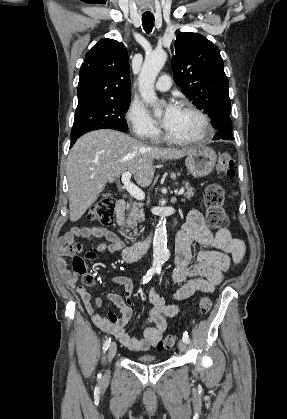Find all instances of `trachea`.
<instances>
[{
    "mask_svg": "<svg viewBox=\"0 0 287 419\" xmlns=\"http://www.w3.org/2000/svg\"><path fill=\"white\" fill-rule=\"evenodd\" d=\"M142 26L145 32L150 33L154 27V15L151 13L142 15Z\"/></svg>",
    "mask_w": 287,
    "mask_h": 419,
    "instance_id": "obj_1",
    "label": "trachea"
}]
</instances>
